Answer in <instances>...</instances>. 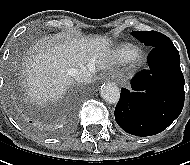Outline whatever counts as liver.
<instances>
[{
	"label": "liver",
	"mask_w": 190,
	"mask_h": 165,
	"mask_svg": "<svg viewBox=\"0 0 190 165\" xmlns=\"http://www.w3.org/2000/svg\"><path fill=\"white\" fill-rule=\"evenodd\" d=\"M111 65L109 38L56 35L31 48L21 72L29 98L44 104L57 101L73 83L71 69L86 68L94 76Z\"/></svg>",
	"instance_id": "obj_1"
}]
</instances>
